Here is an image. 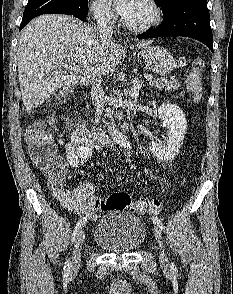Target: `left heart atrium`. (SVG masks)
<instances>
[{
    "label": "left heart atrium",
    "instance_id": "obj_1",
    "mask_svg": "<svg viewBox=\"0 0 233 294\" xmlns=\"http://www.w3.org/2000/svg\"><path fill=\"white\" fill-rule=\"evenodd\" d=\"M113 1L117 12L127 19L138 7L141 0H109Z\"/></svg>",
    "mask_w": 233,
    "mask_h": 294
}]
</instances>
